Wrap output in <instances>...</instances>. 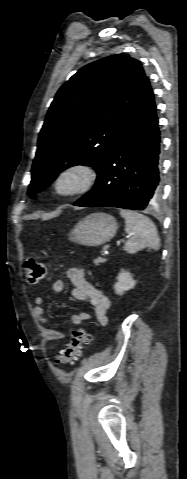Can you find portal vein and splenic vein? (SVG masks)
Masks as SVG:
<instances>
[{"instance_id": "18ae733b", "label": "portal vein and splenic vein", "mask_w": 187, "mask_h": 479, "mask_svg": "<svg viewBox=\"0 0 187 479\" xmlns=\"http://www.w3.org/2000/svg\"><path fill=\"white\" fill-rule=\"evenodd\" d=\"M109 247H110V246L107 245V246H105V247L103 248V250H102V255H103V256H105L106 254H108V248H109Z\"/></svg>"}]
</instances>
